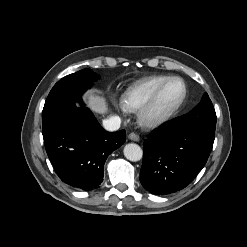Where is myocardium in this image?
<instances>
[{
  "label": "myocardium",
  "mask_w": 247,
  "mask_h": 247,
  "mask_svg": "<svg viewBox=\"0 0 247 247\" xmlns=\"http://www.w3.org/2000/svg\"><path fill=\"white\" fill-rule=\"evenodd\" d=\"M179 81L183 86V93L179 100L170 108L164 111H156V104L158 102L159 96L165 86L172 82ZM187 85L185 81L177 76L168 77L164 80L152 93L149 99L144 103V105L139 109L138 112V122L139 124L146 129L157 128L166 122H168L181 108L186 97H187Z\"/></svg>",
  "instance_id": "1"
}]
</instances>
